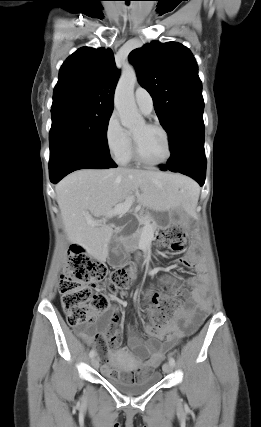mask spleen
<instances>
[{
  "label": "spleen",
  "instance_id": "3e777b00",
  "mask_svg": "<svg viewBox=\"0 0 261 427\" xmlns=\"http://www.w3.org/2000/svg\"><path fill=\"white\" fill-rule=\"evenodd\" d=\"M188 193L191 196L192 201L196 203L200 193L199 188L195 186V188L189 189Z\"/></svg>",
  "mask_w": 261,
  "mask_h": 427
}]
</instances>
